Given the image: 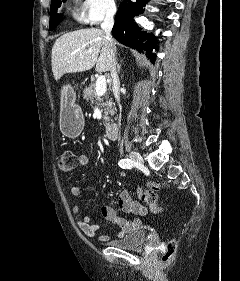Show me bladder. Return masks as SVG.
I'll return each instance as SVG.
<instances>
[{
    "mask_svg": "<svg viewBox=\"0 0 240 281\" xmlns=\"http://www.w3.org/2000/svg\"><path fill=\"white\" fill-rule=\"evenodd\" d=\"M147 237L148 233L146 230L138 229L121 238L110 241L109 244L124 250H138L143 247Z\"/></svg>",
    "mask_w": 240,
    "mask_h": 281,
    "instance_id": "1",
    "label": "bladder"
}]
</instances>
